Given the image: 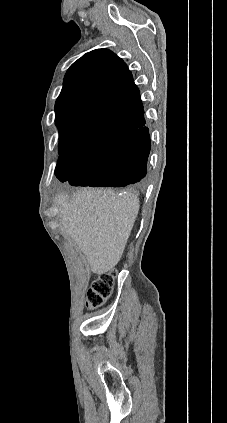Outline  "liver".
Listing matches in <instances>:
<instances>
[{"label": "liver", "instance_id": "liver-1", "mask_svg": "<svg viewBox=\"0 0 227 423\" xmlns=\"http://www.w3.org/2000/svg\"><path fill=\"white\" fill-rule=\"evenodd\" d=\"M61 231L69 235L84 253L93 273L111 271L118 263L139 210V198L132 192L82 188L69 196L60 194Z\"/></svg>", "mask_w": 227, "mask_h": 423}]
</instances>
